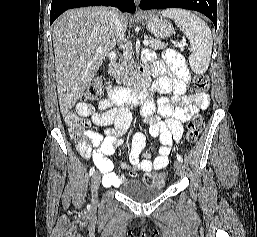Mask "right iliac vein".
<instances>
[{"mask_svg":"<svg viewBox=\"0 0 257 237\" xmlns=\"http://www.w3.org/2000/svg\"><path fill=\"white\" fill-rule=\"evenodd\" d=\"M100 185V174L99 172H95L91 179V193H92V201L97 202V191Z\"/></svg>","mask_w":257,"mask_h":237,"instance_id":"right-iliac-vein-1","label":"right iliac vein"}]
</instances>
